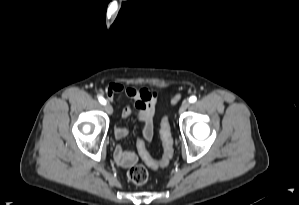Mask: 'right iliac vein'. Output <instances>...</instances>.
I'll return each mask as SVG.
<instances>
[{
    "mask_svg": "<svg viewBox=\"0 0 299 205\" xmlns=\"http://www.w3.org/2000/svg\"><path fill=\"white\" fill-rule=\"evenodd\" d=\"M105 110L107 111L108 114L113 113V108L110 104H105Z\"/></svg>",
    "mask_w": 299,
    "mask_h": 205,
    "instance_id": "right-iliac-vein-1",
    "label": "right iliac vein"
}]
</instances>
